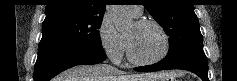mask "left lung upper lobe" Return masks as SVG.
Returning a JSON list of instances; mask_svg holds the SVG:
<instances>
[{"instance_id": "left-lung-upper-lobe-1", "label": "left lung upper lobe", "mask_w": 237, "mask_h": 81, "mask_svg": "<svg viewBox=\"0 0 237 81\" xmlns=\"http://www.w3.org/2000/svg\"><path fill=\"white\" fill-rule=\"evenodd\" d=\"M144 6L170 37L169 52L162 61L171 63L203 51V38L192 0H146Z\"/></svg>"}]
</instances>
